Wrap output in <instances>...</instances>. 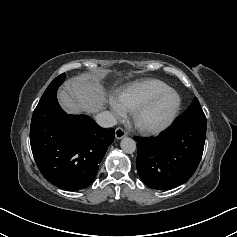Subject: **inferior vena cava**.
Returning <instances> with one entry per match:
<instances>
[{"mask_svg": "<svg viewBox=\"0 0 237 237\" xmlns=\"http://www.w3.org/2000/svg\"><path fill=\"white\" fill-rule=\"evenodd\" d=\"M96 123L104 128L113 127L117 124L116 117L109 111H103L96 115Z\"/></svg>", "mask_w": 237, "mask_h": 237, "instance_id": "inferior-vena-cava-1", "label": "inferior vena cava"}]
</instances>
